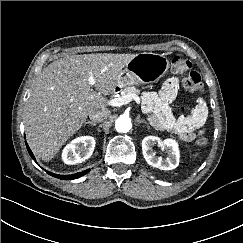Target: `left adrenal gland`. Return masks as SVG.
I'll list each match as a JSON object with an SVG mask.
<instances>
[{
	"mask_svg": "<svg viewBox=\"0 0 243 243\" xmlns=\"http://www.w3.org/2000/svg\"><path fill=\"white\" fill-rule=\"evenodd\" d=\"M136 122H137V123H145V124H147V122H146L145 120L140 119V116H137V118H136Z\"/></svg>",
	"mask_w": 243,
	"mask_h": 243,
	"instance_id": "obj_1",
	"label": "left adrenal gland"
}]
</instances>
